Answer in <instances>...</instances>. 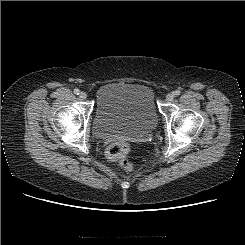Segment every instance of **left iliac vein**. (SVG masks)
<instances>
[{
  "instance_id": "4c4485c4",
  "label": "left iliac vein",
  "mask_w": 245,
  "mask_h": 245,
  "mask_svg": "<svg viewBox=\"0 0 245 245\" xmlns=\"http://www.w3.org/2000/svg\"><path fill=\"white\" fill-rule=\"evenodd\" d=\"M173 99H174L173 94H168V95L166 96V100H167L168 102L173 101Z\"/></svg>"
}]
</instances>
